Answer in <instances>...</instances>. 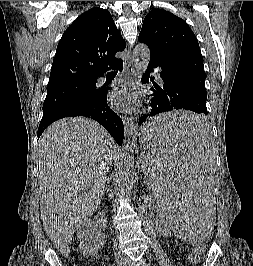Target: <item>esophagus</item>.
I'll return each instance as SVG.
<instances>
[{"instance_id":"34e87169","label":"esophagus","mask_w":253,"mask_h":266,"mask_svg":"<svg viewBox=\"0 0 253 266\" xmlns=\"http://www.w3.org/2000/svg\"><path fill=\"white\" fill-rule=\"evenodd\" d=\"M125 72L128 79H133L136 75L134 59L130 53L128 54V59L125 62ZM123 124L125 129V136L127 138H131L136 132V124L134 119L132 117L124 116Z\"/></svg>"}]
</instances>
